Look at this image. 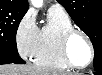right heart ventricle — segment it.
<instances>
[{"label": "right heart ventricle", "instance_id": "right-heart-ventricle-1", "mask_svg": "<svg viewBox=\"0 0 102 75\" xmlns=\"http://www.w3.org/2000/svg\"><path fill=\"white\" fill-rule=\"evenodd\" d=\"M73 27L72 19L65 10L50 8L47 22L38 31L37 46L33 55L34 62L57 69L69 67L62 58L59 44L62 35Z\"/></svg>", "mask_w": 102, "mask_h": 75}]
</instances>
